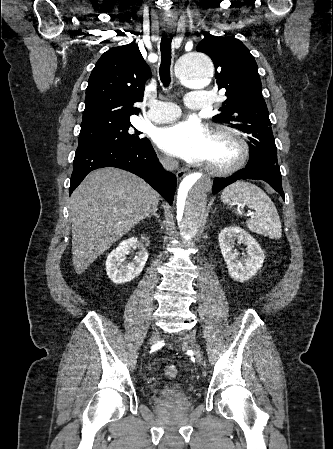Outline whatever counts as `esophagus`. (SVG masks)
<instances>
[{
	"label": "esophagus",
	"mask_w": 333,
	"mask_h": 449,
	"mask_svg": "<svg viewBox=\"0 0 333 449\" xmlns=\"http://www.w3.org/2000/svg\"><path fill=\"white\" fill-rule=\"evenodd\" d=\"M166 33H167L168 35H170V34H171V30H170V29H166ZM185 174H186L185 170H179V171L177 172L176 176H177V178H178L179 180H181L182 178H184Z\"/></svg>",
	"instance_id": "1"
}]
</instances>
